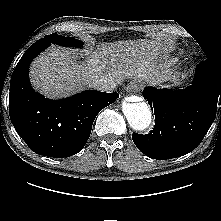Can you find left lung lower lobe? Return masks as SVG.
Masks as SVG:
<instances>
[{"mask_svg": "<svg viewBox=\"0 0 221 221\" xmlns=\"http://www.w3.org/2000/svg\"><path fill=\"white\" fill-rule=\"evenodd\" d=\"M143 97L154 108L150 133H133L137 148L150 158L172 159L186 155L203 140L221 104V69L209 61L197 65L192 85L185 89L147 87Z\"/></svg>", "mask_w": 221, "mask_h": 221, "instance_id": "left-lung-lower-lobe-1", "label": "left lung lower lobe"}]
</instances>
